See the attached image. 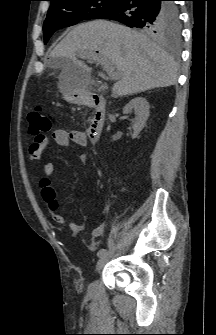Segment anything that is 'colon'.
Masks as SVG:
<instances>
[{
    "label": "colon",
    "instance_id": "colon-1",
    "mask_svg": "<svg viewBox=\"0 0 216 335\" xmlns=\"http://www.w3.org/2000/svg\"><path fill=\"white\" fill-rule=\"evenodd\" d=\"M28 133L34 140H41L47 131L52 126V118L49 114L43 112L41 109H34L28 114ZM47 201H52L53 191L46 187L42 193Z\"/></svg>",
    "mask_w": 216,
    "mask_h": 335
}]
</instances>
